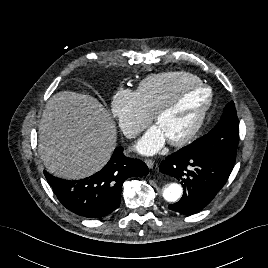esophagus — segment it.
Returning <instances> with one entry per match:
<instances>
[{
  "mask_svg": "<svg viewBox=\"0 0 268 268\" xmlns=\"http://www.w3.org/2000/svg\"><path fill=\"white\" fill-rule=\"evenodd\" d=\"M145 163H146V165L148 166L149 169H152L154 167L155 162H154L153 159L148 158V159L145 160Z\"/></svg>",
  "mask_w": 268,
  "mask_h": 268,
  "instance_id": "esophagus-1",
  "label": "esophagus"
}]
</instances>
